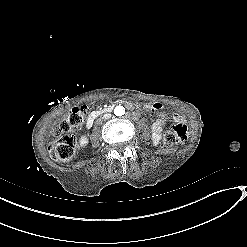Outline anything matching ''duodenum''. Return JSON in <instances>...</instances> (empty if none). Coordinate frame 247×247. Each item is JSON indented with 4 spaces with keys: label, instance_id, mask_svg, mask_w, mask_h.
Returning <instances> with one entry per match:
<instances>
[{
    "label": "duodenum",
    "instance_id": "duodenum-1",
    "mask_svg": "<svg viewBox=\"0 0 247 247\" xmlns=\"http://www.w3.org/2000/svg\"><path fill=\"white\" fill-rule=\"evenodd\" d=\"M113 106H109V107H106L104 109H100V110H96V111H93L88 117H87V120H86V127L87 128H90L92 127V125L94 124L95 120L100 117L101 115H104V114H107V113H110L112 112L113 110Z\"/></svg>",
    "mask_w": 247,
    "mask_h": 247
}]
</instances>
